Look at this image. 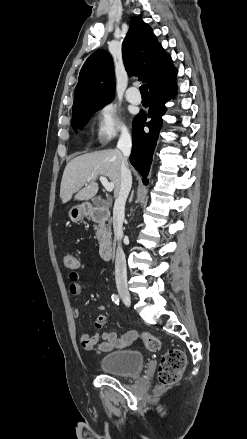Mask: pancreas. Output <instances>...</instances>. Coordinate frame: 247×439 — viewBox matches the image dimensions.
<instances>
[{
  "mask_svg": "<svg viewBox=\"0 0 247 439\" xmlns=\"http://www.w3.org/2000/svg\"><path fill=\"white\" fill-rule=\"evenodd\" d=\"M106 235H110V227L103 226L102 228L98 229L96 232V236L98 239H101Z\"/></svg>",
  "mask_w": 247,
  "mask_h": 439,
  "instance_id": "cf45deb5",
  "label": "pancreas"
}]
</instances>
